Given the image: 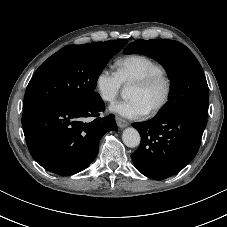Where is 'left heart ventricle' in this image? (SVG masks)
Instances as JSON below:
<instances>
[{"label":"left heart ventricle","instance_id":"b2bd125f","mask_svg":"<svg viewBox=\"0 0 227 227\" xmlns=\"http://www.w3.org/2000/svg\"><path fill=\"white\" fill-rule=\"evenodd\" d=\"M164 84L159 82L149 88H141L132 85L129 90V98L139 99L147 111L154 108L162 99L164 95Z\"/></svg>","mask_w":227,"mask_h":227}]
</instances>
